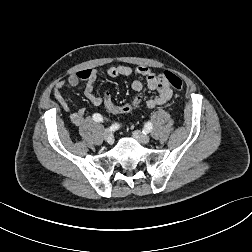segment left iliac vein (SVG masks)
Wrapping results in <instances>:
<instances>
[{"label": "left iliac vein", "instance_id": "left-iliac-vein-1", "mask_svg": "<svg viewBox=\"0 0 252 252\" xmlns=\"http://www.w3.org/2000/svg\"><path fill=\"white\" fill-rule=\"evenodd\" d=\"M133 137L142 144H147L150 142V137L146 134H143L139 130L133 132Z\"/></svg>", "mask_w": 252, "mask_h": 252}]
</instances>
